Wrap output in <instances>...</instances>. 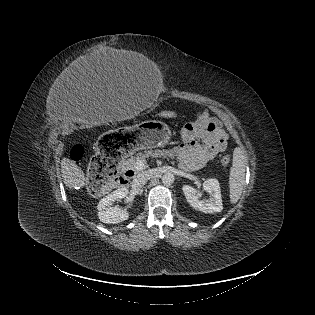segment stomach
<instances>
[{"instance_id":"obj_1","label":"stomach","mask_w":315,"mask_h":315,"mask_svg":"<svg viewBox=\"0 0 315 315\" xmlns=\"http://www.w3.org/2000/svg\"><path fill=\"white\" fill-rule=\"evenodd\" d=\"M134 130L114 132L103 136L99 142L101 153L107 157H134L143 149L166 145L172 136L170 127L163 121L141 122Z\"/></svg>"}]
</instances>
